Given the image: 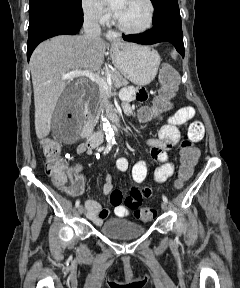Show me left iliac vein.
<instances>
[{"label": "left iliac vein", "mask_w": 240, "mask_h": 288, "mask_svg": "<svg viewBox=\"0 0 240 288\" xmlns=\"http://www.w3.org/2000/svg\"><path fill=\"white\" fill-rule=\"evenodd\" d=\"M161 208L163 211H167V204L164 201L161 203Z\"/></svg>", "instance_id": "obj_1"}]
</instances>
